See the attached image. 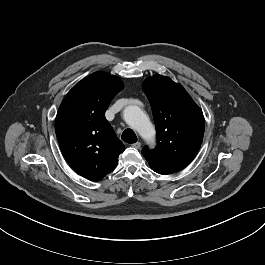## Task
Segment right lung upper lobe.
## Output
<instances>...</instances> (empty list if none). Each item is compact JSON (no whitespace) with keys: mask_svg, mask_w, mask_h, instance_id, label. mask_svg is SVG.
I'll return each mask as SVG.
<instances>
[{"mask_svg":"<svg viewBox=\"0 0 265 265\" xmlns=\"http://www.w3.org/2000/svg\"><path fill=\"white\" fill-rule=\"evenodd\" d=\"M109 73L95 72L78 82L63 99L55 119L61 151L79 175L99 181L113 171L124 145L117 138L105 111L123 89Z\"/></svg>","mask_w":265,"mask_h":265,"instance_id":"cb5924a9","label":"right lung upper lobe"}]
</instances>
